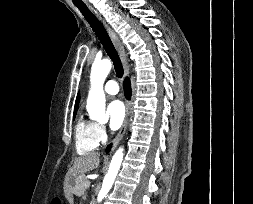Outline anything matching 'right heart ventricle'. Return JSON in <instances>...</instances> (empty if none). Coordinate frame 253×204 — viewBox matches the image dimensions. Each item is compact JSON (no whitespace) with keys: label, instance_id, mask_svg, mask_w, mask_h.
I'll use <instances>...</instances> for the list:
<instances>
[{"label":"right heart ventricle","instance_id":"1","mask_svg":"<svg viewBox=\"0 0 253 204\" xmlns=\"http://www.w3.org/2000/svg\"><path fill=\"white\" fill-rule=\"evenodd\" d=\"M95 123L80 117L75 126V147L78 154H86L94 151L99 141L95 136Z\"/></svg>","mask_w":253,"mask_h":204}]
</instances>
